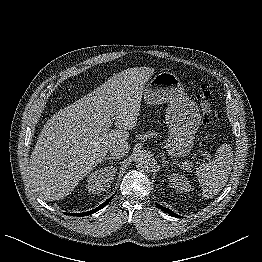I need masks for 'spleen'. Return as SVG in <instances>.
Wrapping results in <instances>:
<instances>
[{"label":"spleen","mask_w":262,"mask_h":262,"mask_svg":"<svg viewBox=\"0 0 262 262\" xmlns=\"http://www.w3.org/2000/svg\"><path fill=\"white\" fill-rule=\"evenodd\" d=\"M233 151L228 145H221L215 158L196 168V176L204 196H212L221 191L228 181L233 165Z\"/></svg>","instance_id":"spleen-1"}]
</instances>
